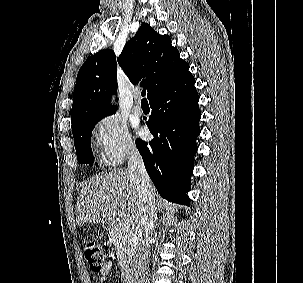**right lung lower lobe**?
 Returning a JSON list of instances; mask_svg holds the SVG:
<instances>
[{
	"mask_svg": "<svg viewBox=\"0 0 303 283\" xmlns=\"http://www.w3.org/2000/svg\"><path fill=\"white\" fill-rule=\"evenodd\" d=\"M191 73L149 100L147 126L154 138L136 140L145 168L159 194L170 202L190 205L187 192L200 134L199 96Z\"/></svg>",
	"mask_w": 303,
	"mask_h": 283,
	"instance_id": "right-lung-lower-lobe-1",
	"label": "right lung lower lobe"
}]
</instances>
